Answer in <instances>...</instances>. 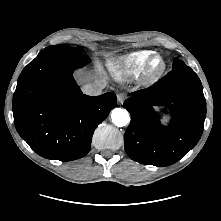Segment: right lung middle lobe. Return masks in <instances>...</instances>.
Masks as SVG:
<instances>
[{"label": "right lung middle lobe", "instance_id": "right-lung-middle-lobe-1", "mask_svg": "<svg viewBox=\"0 0 221 221\" xmlns=\"http://www.w3.org/2000/svg\"><path fill=\"white\" fill-rule=\"evenodd\" d=\"M82 50H83L82 47H70L67 45H54V46H49V47L45 48L41 52L78 54V53H81Z\"/></svg>", "mask_w": 221, "mask_h": 221}]
</instances>
